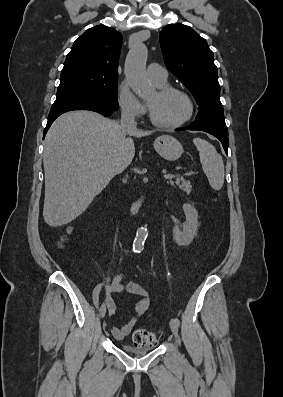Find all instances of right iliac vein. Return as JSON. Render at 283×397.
I'll list each match as a JSON object with an SVG mask.
<instances>
[{
  "mask_svg": "<svg viewBox=\"0 0 283 397\" xmlns=\"http://www.w3.org/2000/svg\"><path fill=\"white\" fill-rule=\"evenodd\" d=\"M105 314H106V305L104 304V306H101L100 308V317L104 318Z\"/></svg>",
  "mask_w": 283,
  "mask_h": 397,
  "instance_id": "1",
  "label": "right iliac vein"
}]
</instances>
